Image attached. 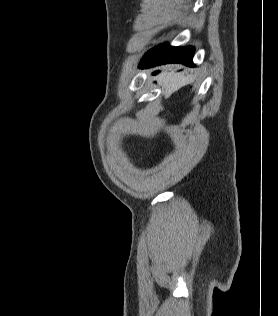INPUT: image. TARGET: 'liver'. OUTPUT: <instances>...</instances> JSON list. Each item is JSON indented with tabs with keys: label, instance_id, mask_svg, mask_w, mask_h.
I'll return each instance as SVG.
<instances>
[{
	"label": "liver",
	"instance_id": "6515ba94",
	"mask_svg": "<svg viewBox=\"0 0 278 316\" xmlns=\"http://www.w3.org/2000/svg\"><path fill=\"white\" fill-rule=\"evenodd\" d=\"M193 80L192 75H184V73H178L172 68H166L158 78L159 83L163 87V93L165 97H168L174 91L180 87L188 84Z\"/></svg>",
	"mask_w": 278,
	"mask_h": 316
}]
</instances>
